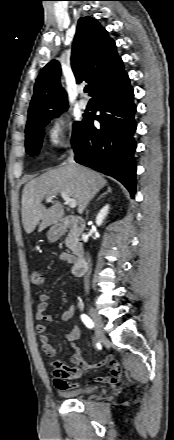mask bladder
<instances>
[{
    "mask_svg": "<svg viewBox=\"0 0 174 440\" xmlns=\"http://www.w3.org/2000/svg\"><path fill=\"white\" fill-rule=\"evenodd\" d=\"M93 391H94L93 387H83V388H80V389L63 392V395L66 396V397H76V396H79V395H84V394L91 393Z\"/></svg>",
    "mask_w": 174,
    "mask_h": 440,
    "instance_id": "obj_1",
    "label": "bladder"
}]
</instances>
